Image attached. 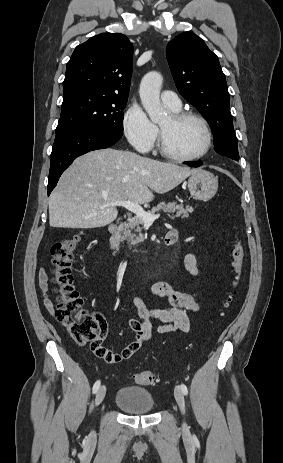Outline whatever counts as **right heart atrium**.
I'll use <instances>...</instances> for the list:
<instances>
[{
  "mask_svg": "<svg viewBox=\"0 0 283 463\" xmlns=\"http://www.w3.org/2000/svg\"><path fill=\"white\" fill-rule=\"evenodd\" d=\"M124 134L129 143L140 152H148L156 143L158 130L143 108L133 103L123 119Z\"/></svg>",
  "mask_w": 283,
  "mask_h": 463,
  "instance_id": "1",
  "label": "right heart atrium"
}]
</instances>
